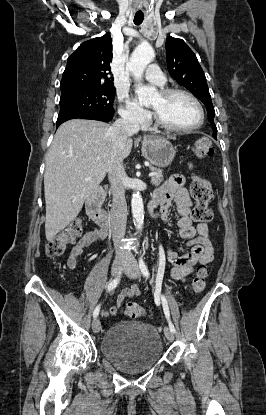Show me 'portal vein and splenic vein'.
<instances>
[{
    "mask_svg": "<svg viewBox=\"0 0 266 415\" xmlns=\"http://www.w3.org/2000/svg\"><path fill=\"white\" fill-rule=\"evenodd\" d=\"M156 175V173L155 172H151V173H149V177H153V176H155ZM85 180H90V177H86L85 178Z\"/></svg>",
    "mask_w": 266,
    "mask_h": 415,
    "instance_id": "1",
    "label": "portal vein and splenic vein"
}]
</instances>
